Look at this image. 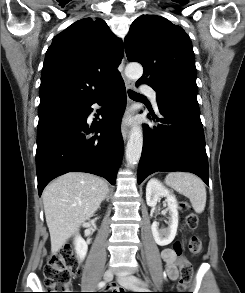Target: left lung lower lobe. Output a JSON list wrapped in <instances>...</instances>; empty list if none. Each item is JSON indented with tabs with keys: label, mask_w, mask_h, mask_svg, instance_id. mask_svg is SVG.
I'll use <instances>...</instances> for the list:
<instances>
[{
	"label": "left lung lower lobe",
	"mask_w": 245,
	"mask_h": 293,
	"mask_svg": "<svg viewBox=\"0 0 245 293\" xmlns=\"http://www.w3.org/2000/svg\"><path fill=\"white\" fill-rule=\"evenodd\" d=\"M157 103L162 118H158L153 111L147 117L162 124L143 126L145 136L138 166V184L157 171H184L198 175L209 185L199 109L172 101Z\"/></svg>",
	"instance_id": "left-lung-lower-lobe-1"
}]
</instances>
